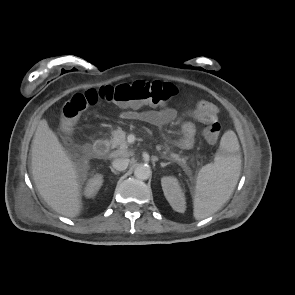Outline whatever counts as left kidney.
Wrapping results in <instances>:
<instances>
[{"instance_id": "5707ae66", "label": "left kidney", "mask_w": 295, "mask_h": 295, "mask_svg": "<svg viewBox=\"0 0 295 295\" xmlns=\"http://www.w3.org/2000/svg\"><path fill=\"white\" fill-rule=\"evenodd\" d=\"M161 185L164 195L171 205V207L180 213L185 211V197L182 192L181 186L175 177H163L161 179Z\"/></svg>"}]
</instances>
